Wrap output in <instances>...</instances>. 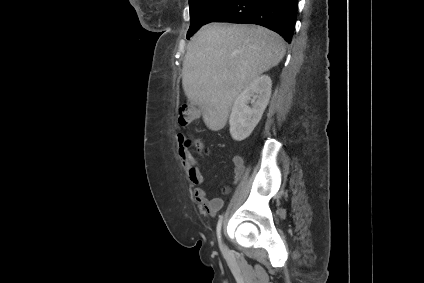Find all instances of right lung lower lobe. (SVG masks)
Segmentation results:
<instances>
[{
  "mask_svg": "<svg viewBox=\"0 0 424 283\" xmlns=\"http://www.w3.org/2000/svg\"><path fill=\"white\" fill-rule=\"evenodd\" d=\"M298 0H229L208 21L257 24L267 27L290 43Z\"/></svg>",
  "mask_w": 424,
  "mask_h": 283,
  "instance_id": "obj_1",
  "label": "right lung lower lobe"
}]
</instances>
